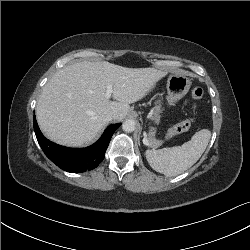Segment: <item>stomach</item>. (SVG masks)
I'll use <instances>...</instances> for the list:
<instances>
[{
	"label": "stomach",
	"mask_w": 250,
	"mask_h": 250,
	"mask_svg": "<svg viewBox=\"0 0 250 250\" xmlns=\"http://www.w3.org/2000/svg\"><path fill=\"white\" fill-rule=\"evenodd\" d=\"M191 80L183 74L173 73L167 81V101L169 105H175L189 91Z\"/></svg>",
	"instance_id": "0dacf381"
}]
</instances>
